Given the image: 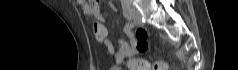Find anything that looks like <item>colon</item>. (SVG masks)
Returning a JSON list of instances; mask_svg holds the SVG:
<instances>
[{
  "instance_id": "1",
  "label": "colon",
  "mask_w": 238,
  "mask_h": 70,
  "mask_svg": "<svg viewBox=\"0 0 238 70\" xmlns=\"http://www.w3.org/2000/svg\"><path fill=\"white\" fill-rule=\"evenodd\" d=\"M92 2H98L96 0H93ZM134 36L136 38V47L139 51H145L148 47L147 37L148 33L143 28H138L134 32ZM117 59H124V54H117ZM169 63H163V62H157L154 64H151L146 59H130L127 62V67L130 70H168Z\"/></svg>"
}]
</instances>
